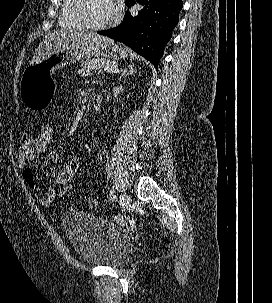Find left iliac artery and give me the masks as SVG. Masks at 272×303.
Returning a JSON list of instances; mask_svg holds the SVG:
<instances>
[{"instance_id":"left-iliac-artery-1","label":"left iliac artery","mask_w":272,"mask_h":303,"mask_svg":"<svg viewBox=\"0 0 272 303\" xmlns=\"http://www.w3.org/2000/svg\"><path fill=\"white\" fill-rule=\"evenodd\" d=\"M110 196H111V198H112L113 200H116V195H115V192H114L113 189L110 190Z\"/></svg>"}]
</instances>
